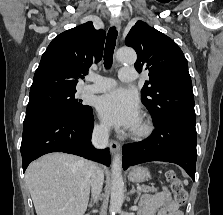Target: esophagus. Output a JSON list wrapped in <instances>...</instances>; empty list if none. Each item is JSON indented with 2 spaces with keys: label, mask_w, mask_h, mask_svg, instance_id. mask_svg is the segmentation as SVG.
Here are the masks:
<instances>
[{
  "label": "esophagus",
  "mask_w": 223,
  "mask_h": 215,
  "mask_svg": "<svg viewBox=\"0 0 223 215\" xmlns=\"http://www.w3.org/2000/svg\"><path fill=\"white\" fill-rule=\"evenodd\" d=\"M110 23L111 26L116 28L118 31L121 29V21L118 17H112ZM109 146L112 154H115L120 150V143L116 140H111Z\"/></svg>",
  "instance_id": "1"
}]
</instances>
